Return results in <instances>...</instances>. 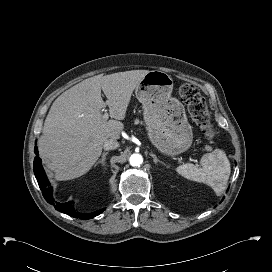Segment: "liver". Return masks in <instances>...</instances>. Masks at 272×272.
I'll use <instances>...</instances> for the list:
<instances>
[{
  "label": "liver",
  "instance_id": "liver-1",
  "mask_svg": "<svg viewBox=\"0 0 272 272\" xmlns=\"http://www.w3.org/2000/svg\"><path fill=\"white\" fill-rule=\"evenodd\" d=\"M148 70L97 75L63 92L52 104L38 140L40 156L57 180L86 174L102 153L104 142L124 129L131 95ZM104 92L107 101L101 97ZM106 105L112 118H102Z\"/></svg>",
  "mask_w": 272,
  "mask_h": 272
}]
</instances>
